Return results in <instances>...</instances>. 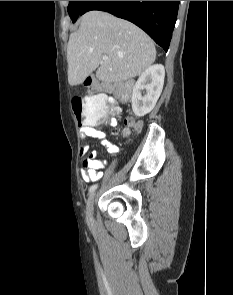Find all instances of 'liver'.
Listing matches in <instances>:
<instances>
[{
	"label": "liver",
	"mask_w": 233,
	"mask_h": 295,
	"mask_svg": "<svg viewBox=\"0 0 233 295\" xmlns=\"http://www.w3.org/2000/svg\"><path fill=\"white\" fill-rule=\"evenodd\" d=\"M155 58L153 41L136 25L107 12L89 11L69 37L68 82L82 84L96 69L100 81H125L142 74Z\"/></svg>",
	"instance_id": "liver-1"
}]
</instances>
